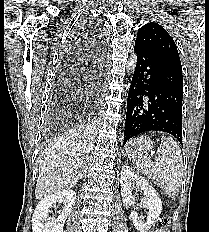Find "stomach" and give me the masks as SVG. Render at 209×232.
I'll list each match as a JSON object with an SVG mask.
<instances>
[{
	"mask_svg": "<svg viewBox=\"0 0 209 232\" xmlns=\"http://www.w3.org/2000/svg\"><path fill=\"white\" fill-rule=\"evenodd\" d=\"M152 142L146 137H140L130 141L125 147L128 155L144 154L152 149Z\"/></svg>",
	"mask_w": 209,
	"mask_h": 232,
	"instance_id": "1",
	"label": "stomach"
}]
</instances>
